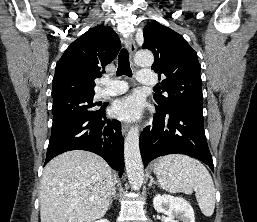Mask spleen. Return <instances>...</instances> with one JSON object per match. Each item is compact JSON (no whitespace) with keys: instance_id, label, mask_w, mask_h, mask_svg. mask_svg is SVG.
<instances>
[{"instance_id":"obj_1","label":"spleen","mask_w":257,"mask_h":222,"mask_svg":"<svg viewBox=\"0 0 257 222\" xmlns=\"http://www.w3.org/2000/svg\"><path fill=\"white\" fill-rule=\"evenodd\" d=\"M159 185L171 193L193 190L202 213L210 217L215 209V187L206 167L196 159L174 154L159 158L154 165Z\"/></svg>"}]
</instances>
